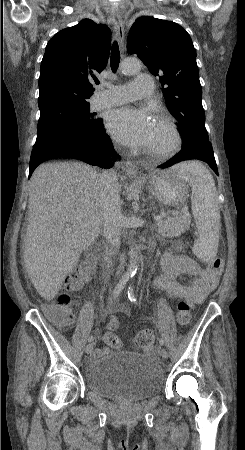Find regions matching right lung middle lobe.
Returning <instances> with one entry per match:
<instances>
[{"mask_svg": "<svg viewBox=\"0 0 245 450\" xmlns=\"http://www.w3.org/2000/svg\"><path fill=\"white\" fill-rule=\"evenodd\" d=\"M100 119L89 112V104H58L40 109L37 139L33 150H40L69 138L91 134Z\"/></svg>", "mask_w": 245, "mask_h": 450, "instance_id": "1", "label": "right lung middle lobe"}]
</instances>
